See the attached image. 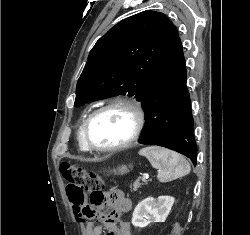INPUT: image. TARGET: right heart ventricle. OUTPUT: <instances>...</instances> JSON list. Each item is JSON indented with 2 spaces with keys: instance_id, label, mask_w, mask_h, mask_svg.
Returning a JSON list of instances; mask_svg holds the SVG:
<instances>
[{
  "instance_id": "1",
  "label": "right heart ventricle",
  "mask_w": 250,
  "mask_h": 235,
  "mask_svg": "<svg viewBox=\"0 0 250 235\" xmlns=\"http://www.w3.org/2000/svg\"><path fill=\"white\" fill-rule=\"evenodd\" d=\"M87 117L88 116L83 118V121H82V123L80 125L79 132H78L79 147H80V149L82 151H87L88 150V148L85 146L84 140H83V126H84V123H85Z\"/></svg>"
}]
</instances>
